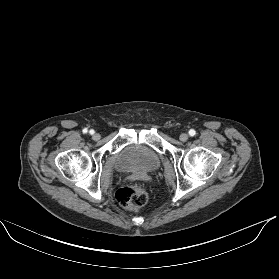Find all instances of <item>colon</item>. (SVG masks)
<instances>
[{"label": "colon", "instance_id": "5ec220e1", "mask_svg": "<svg viewBox=\"0 0 279 279\" xmlns=\"http://www.w3.org/2000/svg\"><path fill=\"white\" fill-rule=\"evenodd\" d=\"M120 206L126 210L142 209L148 202V192L141 186H123L115 193Z\"/></svg>", "mask_w": 279, "mask_h": 279}]
</instances>
